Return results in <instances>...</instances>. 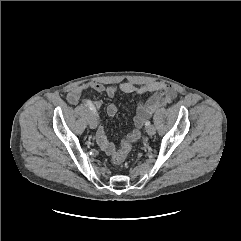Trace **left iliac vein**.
I'll return each mask as SVG.
<instances>
[{
  "instance_id": "left-iliac-vein-1",
  "label": "left iliac vein",
  "mask_w": 241,
  "mask_h": 241,
  "mask_svg": "<svg viewBox=\"0 0 241 241\" xmlns=\"http://www.w3.org/2000/svg\"><path fill=\"white\" fill-rule=\"evenodd\" d=\"M146 132L148 135L153 136L156 133V129L153 125H149L146 128Z\"/></svg>"
}]
</instances>
